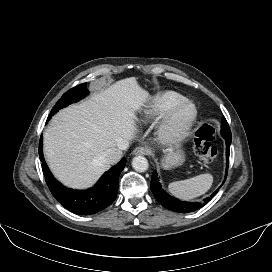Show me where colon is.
Listing matches in <instances>:
<instances>
[{
	"label": "colon",
	"mask_w": 272,
	"mask_h": 272,
	"mask_svg": "<svg viewBox=\"0 0 272 272\" xmlns=\"http://www.w3.org/2000/svg\"><path fill=\"white\" fill-rule=\"evenodd\" d=\"M215 126L205 123L198 128L194 138L196 155L206 163L212 162L217 156V148L212 145L215 136Z\"/></svg>",
	"instance_id": "obj_1"
}]
</instances>
